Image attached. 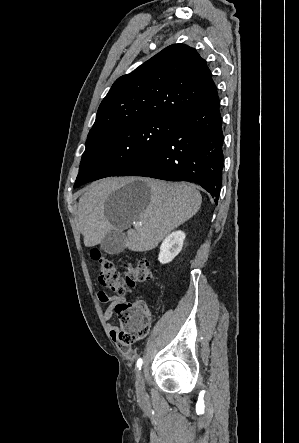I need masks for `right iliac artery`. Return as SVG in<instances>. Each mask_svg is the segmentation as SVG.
Instances as JSON below:
<instances>
[{"mask_svg": "<svg viewBox=\"0 0 299 443\" xmlns=\"http://www.w3.org/2000/svg\"><path fill=\"white\" fill-rule=\"evenodd\" d=\"M142 363H143V360H142L141 358H139V359L137 360V368H138L139 370L141 369Z\"/></svg>", "mask_w": 299, "mask_h": 443, "instance_id": "right-iliac-artery-1", "label": "right iliac artery"}]
</instances>
